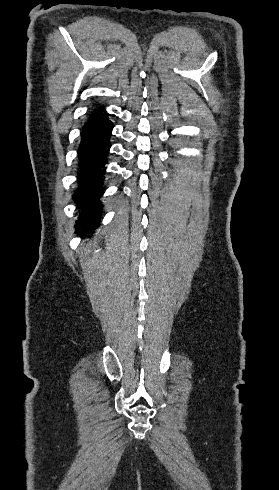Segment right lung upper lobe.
<instances>
[{"instance_id":"right-lung-upper-lobe-1","label":"right lung upper lobe","mask_w":279,"mask_h":490,"mask_svg":"<svg viewBox=\"0 0 279 490\" xmlns=\"http://www.w3.org/2000/svg\"><path fill=\"white\" fill-rule=\"evenodd\" d=\"M110 123L112 122L108 120V114H106L104 108L98 107L89 114L88 120L82 128V135L94 132Z\"/></svg>"}]
</instances>
